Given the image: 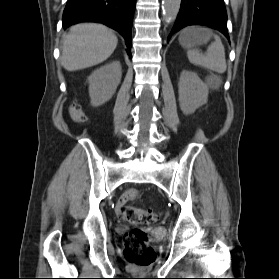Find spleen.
<instances>
[{
    "instance_id": "spleen-1",
    "label": "spleen",
    "mask_w": 279,
    "mask_h": 279,
    "mask_svg": "<svg viewBox=\"0 0 279 279\" xmlns=\"http://www.w3.org/2000/svg\"><path fill=\"white\" fill-rule=\"evenodd\" d=\"M188 59L194 65L202 66L219 74L224 73L227 68L225 49L220 37L217 35H214V42L208 46L205 54H201L195 49H189ZM219 86L220 80H217L213 87L218 89Z\"/></svg>"
}]
</instances>
